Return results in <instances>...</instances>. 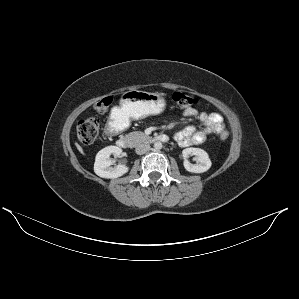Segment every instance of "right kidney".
<instances>
[{"label":"right kidney","mask_w":299,"mask_h":299,"mask_svg":"<svg viewBox=\"0 0 299 299\" xmlns=\"http://www.w3.org/2000/svg\"><path fill=\"white\" fill-rule=\"evenodd\" d=\"M112 154L120 156L122 154V149L117 146H107L97 153L94 163V172L99 177L113 179L128 172L129 167L126 165L111 166L113 164L110 160Z\"/></svg>","instance_id":"right-kidney-1"}]
</instances>
